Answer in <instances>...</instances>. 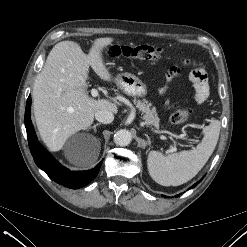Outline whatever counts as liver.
Masks as SVG:
<instances>
[{
  "mask_svg": "<svg viewBox=\"0 0 247 247\" xmlns=\"http://www.w3.org/2000/svg\"><path fill=\"white\" fill-rule=\"evenodd\" d=\"M113 38H97L88 54L74 41L57 43L50 51L33 86L36 124L43 142L51 151H59L76 132L87 129L98 110L118 112L116 100H96L86 92L89 66L105 81L113 78L104 64L102 51ZM99 143L91 154L71 162L79 167L93 166L99 156Z\"/></svg>",
  "mask_w": 247,
  "mask_h": 247,
  "instance_id": "6515ba94",
  "label": "liver"
}]
</instances>
